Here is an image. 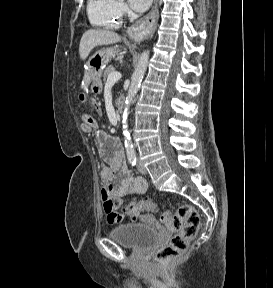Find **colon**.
Segmentation results:
<instances>
[{
	"mask_svg": "<svg viewBox=\"0 0 273 288\" xmlns=\"http://www.w3.org/2000/svg\"><path fill=\"white\" fill-rule=\"evenodd\" d=\"M81 101L94 107L95 110H99V107L90 103L86 97L81 96ZM154 210H156V205L148 200L129 203L125 206V211L132 217L138 216L142 211ZM160 221L169 230L175 232L168 244L161 247L155 254V261L164 265L178 259L187 251L189 243L195 238L199 230L201 219L194 207L182 204L174 212H163L160 215Z\"/></svg>",
	"mask_w": 273,
	"mask_h": 288,
	"instance_id": "obj_1",
	"label": "colon"
}]
</instances>
